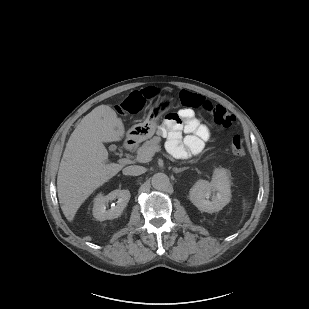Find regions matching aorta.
<instances>
[{"mask_svg": "<svg viewBox=\"0 0 309 309\" xmlns=\"http://www.w3.org/2000/svg\"><path fill=\"white\" fill-rule=\"evenodd\" d=\"M152 186L156 190H164L169 186V178L164 173H156L151 179Z\"/></svg>", "mask_w": 309, "mask_h": 309, "instance_id": "1", "label": "aorta"}]
</instances>
